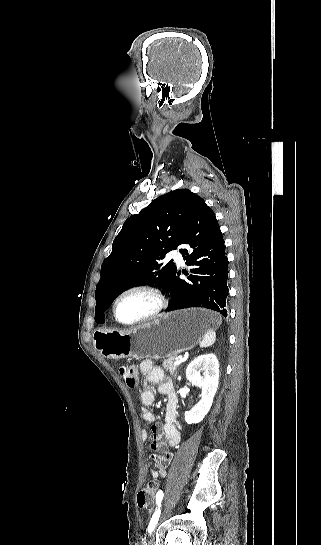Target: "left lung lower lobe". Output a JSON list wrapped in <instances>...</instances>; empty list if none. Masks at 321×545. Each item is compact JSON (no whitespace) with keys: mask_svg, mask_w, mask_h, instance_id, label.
Wrapping results in <instances>:
<instances>
[{"mask_svg":"<svg viewBox=\"0 0 321 545\" xmlns=\"http://www.w3.org/2000/svg\"><path fill=\"white\" fill-rule=\"evenodd\" d=\"M186 265L194 266L188 280L173 273L165 288L171 294L167 311L189 307H203L227 316L226 299L229 294L228 258L223 236L214 212L204 203L198 204L179 245Z\"/></svg>","mask_w":321,"mask_h":545,"instance_id":"1","label":"left lung lower lobe"}]
</instances>
